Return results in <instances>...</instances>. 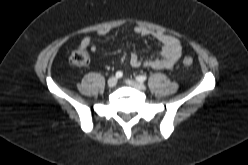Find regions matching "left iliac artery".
<instances>
[{"instance_id": "left-iliac-artery-1", "label": "left iliac artery", "mask_w": 248, "mask_h": 165, "mask_svg": "<svg viewBox=\"0 0 248 165\" xmlns=\"http://www.w3.org/2000/svg\"><path fill=\"white\" fill-rule=\"evenodd\" d=\"M146 79H147L146 75H139L136 77V80L141 82V83L144 82Z\"/></svg>"}]
</instances>
